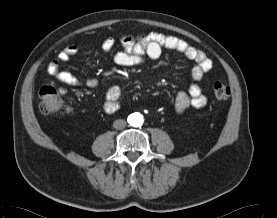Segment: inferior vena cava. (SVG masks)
Wrapping results in <instances>:
<instances>
[{"mask_svg":"<svg viewBox=\"0 0 277 218\" xmlns=\"http://www.w3.org/2000/svg\"><path fill=\"white\" fill-rule=\"evenodd\" d=\"M113 125L116 129H123L126 126V121L123 119H118L114 122Z\"/></svg>","mask_w":277,"mask_h":218,"instance_id":"1","label":"inferior vena cava"}]
</instances>
